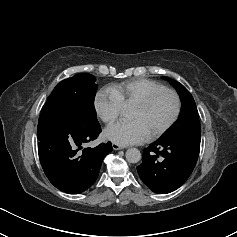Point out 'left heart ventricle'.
<instances>
[{
  "label": "left heart ventricle",
  "mask_w": 237,
  "mask_h": 237,
  "mask_svg": "<svg viewBox=\"0 0 237 237\" xmlns=\"http://www.w3.org/2000/svg\"><path fill=\"white\" fill-rule=\"evenodd\" d=\"M175 111V100L170 94H162L147 109L133 106L130 119L140 121L149 135L164 125Z\"/></svg>",
  "instance_id": "obj_1"
}]
</instances>
